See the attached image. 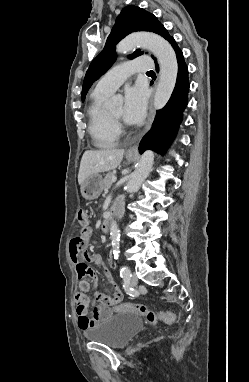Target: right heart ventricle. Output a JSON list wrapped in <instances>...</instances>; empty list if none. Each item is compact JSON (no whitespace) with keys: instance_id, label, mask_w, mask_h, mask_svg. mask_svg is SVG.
Listing matches in <instances>:
<instances>
[{"instance_id":"1","label":"right heart ventricle","mask_w":249,"mask_h":382,"mask_svg":"<svg viewBox=\"0 0 249 382\" xmlns=\"http://www.w3.org/2000/svg\"><path fill=\"white\" fill-rule=\"evenodd\" d=\"M110 94L94 90L87 109L88 129L94 144L103 149L114 147L119 140V129L104 108Z\"/></svg>"}]
</instances>
